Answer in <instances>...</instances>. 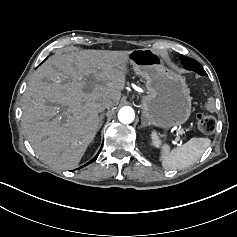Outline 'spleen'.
I'll return each instance as SVG.
<instances>
[{
	"mask_svg": "<svg viewBox=\"0 0 237 237\" xmlns=\"http://www.w3.org/2000/svg\"><path fill=\"white\" fill-rule=\"evenodd\" d=\"M210 145L208 137H193L173 148L168 142H163L159 147L158 162L166 170L184 169L196 163Z\"/></svg>",
	"mask_w": 237,
	"mask_h": 237,
	"instance_id": "obj_1",
	"label": "spleen"
}]
</instances>
